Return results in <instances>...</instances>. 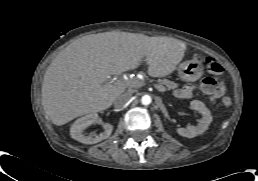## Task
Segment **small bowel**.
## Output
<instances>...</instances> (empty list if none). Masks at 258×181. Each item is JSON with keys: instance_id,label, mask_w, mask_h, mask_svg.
Here are the masks:
<instances>
[{"instance_id": "c3829d8e", "label": "small bowel", "mask_w": 258, "mask_h": 181, "mask_svg": "<svg viewBox=\"0 0 258 181\" xmlns=\"http://www.w3.org/2000/svg\"><path fill=\"white\" fill-rule=\"evenodd\" d=\"M200 89L203 93L208 95L209 102L215 103L224 93V85L216 83L211 77H206L200 84ZM177 98L188 99L194 96V87L191 85L184 86L175 92Z\"/></svg>"}]
</instances>
